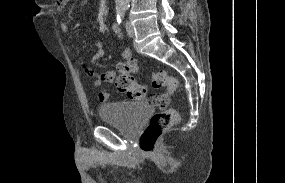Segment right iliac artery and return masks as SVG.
<instances>
[{"instance_id":"right-iliac-artery-1","label":"right iliac artery","mask_w":285,"mask_h":183,"mask_svg":"<svg viewBox=\"0 0 285 183\" xmlns=\"http://www.w3.org/2000/svg\"><path fill=\"white\" fill-rule=\"evenodd\" d=\"M125 9H117V22L120 24L124 18Z\"/></svg>"}]
</instances>
